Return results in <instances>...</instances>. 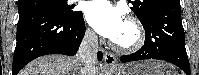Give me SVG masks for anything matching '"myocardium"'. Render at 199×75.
Wrapping results in <instances>:
<instances>
[{"instance_id":"f54148a6","label":"myocardium","mask_w":199,"mask_h":75,"mask_svg":"<svg viewBox=\"0 0 199 75\" xmlns=\"http://www.w3.org/2000/svg\"><path fill=\"white\" fill-rule=\"evenodd\" d=\"M127 24H129L135 32L134 40L129 44H121L114 41L112 45L118 51L131 53L139 50L143 46L145 41V33L141 23L136 18H128Z\"/></svg>"}]
</instances>
